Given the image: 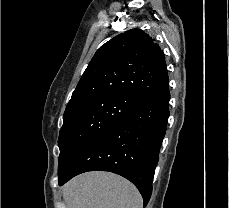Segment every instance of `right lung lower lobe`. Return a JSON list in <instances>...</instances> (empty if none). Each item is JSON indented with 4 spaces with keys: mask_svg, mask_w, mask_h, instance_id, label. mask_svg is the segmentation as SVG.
Instances as JSON below:
<instances>
[{
    "mask_svg": "<svg viewBox=\"0 0 229 208\" xmlns=\"http://www.w3.org/2000/svg\"><path fill=\"white\" fill-rule=\"evenodd\" d=\"M169 99L167 87L92 141L68 171L59 176V185L83 172L110 171L130 180L140 191L146 206L165 136Z\"/></svg>",
    "mask_w": 229,
    "mask_h": 208,
    "instance_id": "98d812e1",
    "label": "right lung lower lobe"
}]
</instances>
